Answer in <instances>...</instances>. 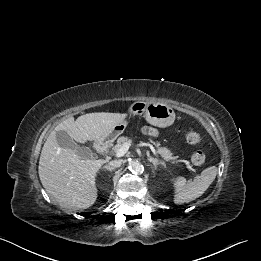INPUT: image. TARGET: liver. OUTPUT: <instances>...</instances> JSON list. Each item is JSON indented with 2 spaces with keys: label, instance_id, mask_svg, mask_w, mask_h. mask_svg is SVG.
I'll return each mask as SVG.
<instances>
[{
  "label": "liver",
  "instance_id": "liver-1",
  "mask_svg": "<svg viewBox=\"0 0 261 261\" xmlns=\"http://www.w3.org/2000/svg\"><path fill=\"white\" fill-rule=\"evenodd\" d=\"M127 117L120 113H88L59 123L45 141L38 166L40 181L63 208L79 210L97 199L96 173L104 160L81 158L74 150L59 146L56 133L66 131L76 142L105 140L113 127Z\"/></svg>",
  "mask_w": 261,
  "mask_h": 261
}]
</instances>
